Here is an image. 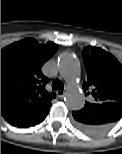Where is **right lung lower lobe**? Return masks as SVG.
I'll list each match as a JSON object with an SVG mask.
<instances>
[{
	"label": "right lung lower lobe",
	"mask_w": 122,
	"mask_h": 154,
	"mask_svg": "<svg viewBox=\"0 0 122 154\" xmlns=\"http://www.w3.org/2000/svg\"><path fill=\"white\" fill-rule=\"evenodd\" d=\"M45 117H46V116H45ZM45 117H43L42 119L36 121L35 123H33V124L29 125V126H34V125H36V124L42 122V121L45 119ZM29 126H27V127H29Z\"/></svg>",
	"instance_id": "right-lung-lower-lobe-1"
}]
</instances>
